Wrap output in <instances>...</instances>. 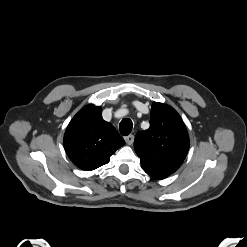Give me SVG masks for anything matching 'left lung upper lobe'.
I'll use <instances>...</instances> for the list:
<instances>
[{
	"label": "left lung upper lobe",
	"mask_w": 247,
	"mask_h": 247,
	"mask_svg": "<svg viewBox=\"0 0 247 247\" xmlns=\"http://www.w3.org/2000/svg\"><path fill=\"white\" fill-rule=\"evenodd\" d=\"M150 128L137 133L134 148L143 170L162 180L183 163L189 149V136L180 115L170 106L152 104Z\"/></svg>",
	"instance_id": "5c2ea615"
}]
</instances>
